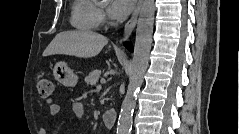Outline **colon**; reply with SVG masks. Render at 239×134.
<instances>
[{
  "instance_id": "5ec220e1",
  "label": "colon",
  "mask_w": 239,
  "mask_h": 134,
  "mask_svg": "<svg viewBox=\"0 0 239 134\" xmlns=\"http://www.w3.org/2000/svg\"><path fill=\"white\" fill-rule=\"evenodd\" d=\"M36 88L38 94L46 100H50L53 93L52 81L43 75H40L36 80Z\"/></svg>"
}]
</instances>
